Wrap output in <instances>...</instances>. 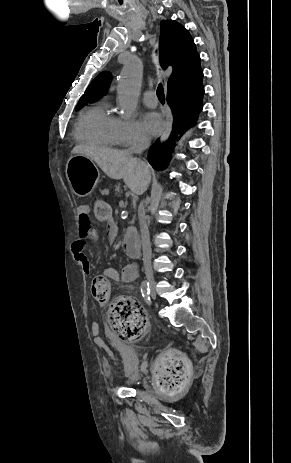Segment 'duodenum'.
<instances>
[{"label":"duodenum","instance_id":"1","mask_svg":"<svg viewBox=\"0 0 291 463\" xmlns=\"http://www.w3.org/2000/svg\"><path fill=\"white\" fill-rule=\"evenodd\" d=\"M122 246L125 252L131 257L137 258L139 256V234L137 233L135 228L131 226L127 227L126 236Z\"/></svg>","mask_w":291,"mask_h":463}]
</instances>
